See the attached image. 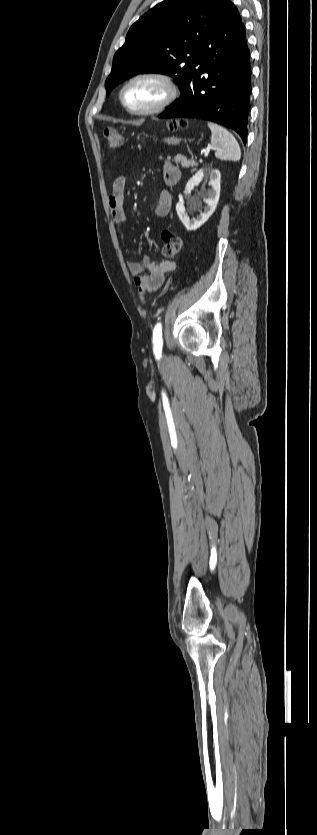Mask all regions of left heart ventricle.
<instances>
[{
    "label": "left heart ventricle",
    "instance_id": "b2bd125f",
    "mask_svg": "<svg viewBox=\"0 0 317 835\" xmlns=\"http://www.w3.org/2000/svg\"><path fill=\"white\" fill-rule=\"evenodd\" d=\"M162 96L163 89L152 80L136 81L124 92L125 102L136 110L152 107Z\"/></svg>",
    "mask_w": 317,
    "mask_h": 835
}]
</instances>
